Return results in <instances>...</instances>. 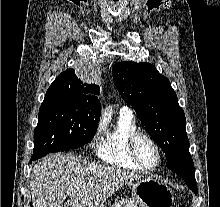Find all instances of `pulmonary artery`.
Wrapping results in <instances>:
<instances>
[{
  "instance_id": "e3ab8cb5",
  "label": "pulmonary artery",
  "mask_w": 220,
  "mask_h": 207,
  "mask_svg": "<svg viewBox=\"0 0 220 207\" xmlns=\"http://www.w3.org/2000/svg\"><path fill=\"white\" fill-rule=\"evenodd\" d=\"M121 111H122V112H127V113H131V114H132V110H131L129 107H127V106H123V107L121 108Z\"/></svg>"
}]
</instances>
